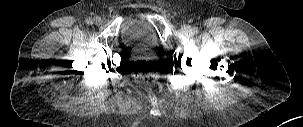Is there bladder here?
<instances>
[{
	"label": "bladder",
	"instance_id": "obj_1",
	"mask_svg": "<svg viewBox=\"0 0 303 127\" xmlns=\"http://www.w3.org/2000/svg\"><path fill=\"white\" fill-rule=\"evenodd\" d=\"M121 37L130 46L153 48L158 44V37L152 25L138 16L125 19L121 27Z\"/></svg>",
	"mask_w": 303,
	"mask_h": 127
}]
</instances>
